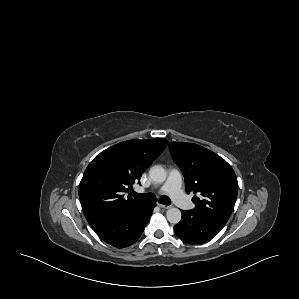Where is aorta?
<instances>
[{"label": "aorta", "instance_id": "762f6f07", "mask_svg": "<svg viewBox=\"0 0 299 299\" xmlns=\"http://www.w3.org/2000/svg\"><path fill=\"white\" fill-rule=\"evenodd\" d=\"M149 176L154 183H163L167 174L164 168L159 165L153 166L149 171ZM181 211L178 208H170L166 212L167 220L172 224H177L181 220Z\"/></svg>", "mask_w": 299, "mask_h": 299}]
</instances>
